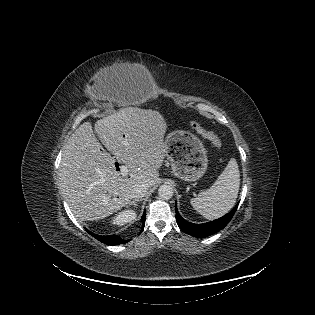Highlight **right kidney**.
I'll use <instances>...</instances> for the list:
<instances>
[{
	"label": "right kidney",
	"mask_w": 315,
	"mask_h": 315,
	"mask_svg": "<svg viewBox=\"0 0 315 315\" xmlns=\"http://www.w3.org/2000/svg\"><path fill=\"white\" fill-rule=\"evenodd\" d=\"M136 218V212L134 210H124L119 212L115 217L112 219V224L116 225H124Z\"/></svg>",
	"instance_id": "right-kidney-1"
}]
</instances>
